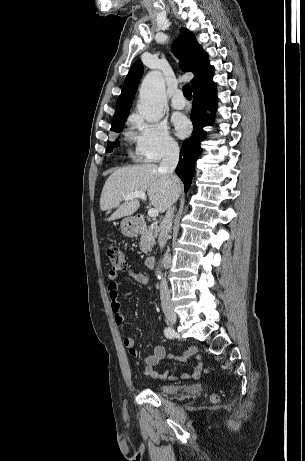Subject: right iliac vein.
Wrapping results in <instances>:
<instances>
[{"mask_svg":"<svg viewBox=\"0 0 305 461\" xmlns=\"http://www.w3.org/2000/svg\"><path fill=\"white\" fill-rule=\"evenodd\" d=\"M165 316H166L167 322L169 324H171V325L176 324L177 316H176V314L173 312V310L171 308H166L165 309Z\"/></svg>","mask_w":305,"mask_h":461,"instance_id":"right-iliac-vein-1","label":"right iliac vein"}]
</instances>
